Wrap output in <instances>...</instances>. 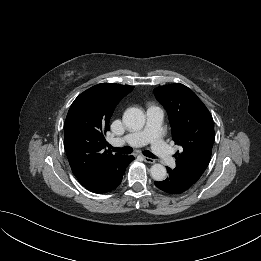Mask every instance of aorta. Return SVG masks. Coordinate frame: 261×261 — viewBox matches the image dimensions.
<instances>
[{"label": "aorta", "instance_id": "obj_1", "mask_svg": "<svg viewBox=\"0 0 261 261\" xmlns=\"http://www.w3.org/2000/svg\"><path fill=\"white\" fill-rule=\"evenodd\" d=\"M124 124L132 130L141 129L146 122L144 112L135 107L128 108L123 115ZM151 176L156 181H163L166 178V168L161 164H154L150 168Z\"/></svg>", "mask_w": 261, "mask_h": 261}]
</instances>
